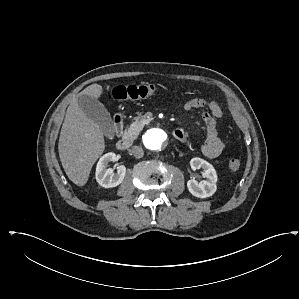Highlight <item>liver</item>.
Listing matches in <instances>:
<instances>
[{
	"mask_svg": "<svg viewBox=\"0 0 299 299\" xmlns=\"http://www.w3.org/2000/svg\"><path fill=\"white\" fill-rule=\"evenodd\" d=\"M103 88L92 84L75 97L65 115L58 143L60 161L68 178L78 186H84L92 166L105 150L104 135L99 125L80 108L77 98L87 95L98 98Z\"/></svg>",
	"mask_w": 299,
	"mask_h": 299,
	"instance_id": "obj_1",
	"label": "liver"
}]
</instances>
